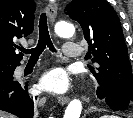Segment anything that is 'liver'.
<instances>
[{
	"instance_id": "obj_1",
	"label": "liver",
	"mask_w": 133,
	"mask_h": 118,
	"mask_svg": "<svg viewBox=\"0 0 133 118\" xmlns=\"http://www.w3.org/2000/svg\"><path fill=\"white\" fill-rule=\"evenodd\" d=\"M0 118H15V117L11 114H7L5 112L0 111Z\"/></svg>"
}]
</instances>
